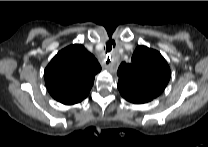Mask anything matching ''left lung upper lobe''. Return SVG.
Segmentation results:
<instances>
[{"label":"left lung upper lobe","mask_w":208,"mask_h":147,"mask_svg":"<svg viewBox=\"0 0 208 147\" xmlns=\"http://www.w3.org/2000/svg\"><path fill=\"white\" fill-rule=\"evenodd\" d=\"M118 88L156 98L165 89L170 68L163 56L146 46H137L130 63L122 62L118 68Z\"/></svg>","instance_id":"left-lung-upper-lobe-1"}]
</instances>
